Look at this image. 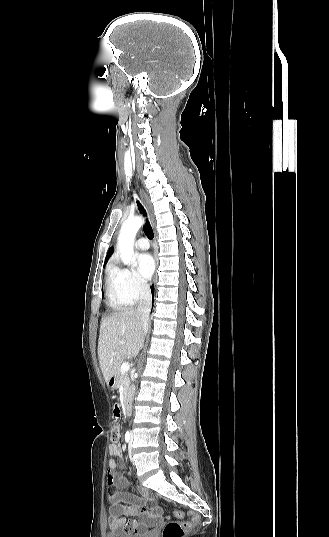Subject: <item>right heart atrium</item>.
<instances>
[{
    "mask_svg": "<svg viewBox=\"0 0 329 537\" xmlns=\"http://www.w3.org/2000/svg\"><path fill=\"white\" fill-rule=\"evenodd\" d=\"M117 289L130 302H136L149 292L148 285L129 268H114Z\"/></svg>",
    "mask_w": 329,
    "mask_h": 537,
    "instance_id": "obj_1",
    "label": "right heart atrium"
}]
</instances>
